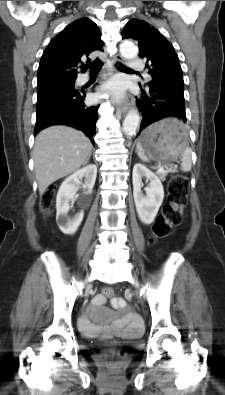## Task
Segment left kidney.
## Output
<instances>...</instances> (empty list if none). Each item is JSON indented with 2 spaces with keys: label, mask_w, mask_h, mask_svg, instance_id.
<instances>
[{
  "label": "left kidney",
  "mask_w": 225,
  "mask_h": 395,
  "mask_svg": "<svg viewBox=\"0 0 225 395\" xmlns=\"http://www.w3.org/2000/svg\"><path fill=\"white\" fill-rule=\"evenodd\" d=\"M143 177L150 181L149 186L145 189L146 196L141 191ZM132 180L133 197L138 216L144 224H151L164 199L161 180L141 163L134 165Z\"/></svg>",
  "instance_id": "5707ae66"
}]
</instances>
